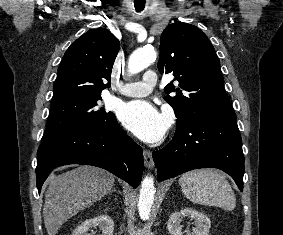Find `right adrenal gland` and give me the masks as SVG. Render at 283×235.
<instances>
[{
  "label": "right adrenal gland",
  "instance_id": "right-adrenal-gland-1",
  "mask_svg": "<svg viewBox=\"0 0 283 235\" xmlns=\"http://www.w3.org/2000/svg\"><path fill=\"white\" fill-rule=\"evenodd\" d=\"M111 192H116V189L111 190Z\"/></svg>",
  "mask_w": 283,
  "mask_h": 235
}]
</instances>
